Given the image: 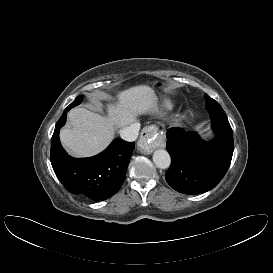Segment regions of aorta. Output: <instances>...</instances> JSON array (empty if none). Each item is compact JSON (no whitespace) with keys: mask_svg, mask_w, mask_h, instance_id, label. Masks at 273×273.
<instances>
[{"mask_svg":"<svg viewBox=\"0 0 273 273\" xmlns=\"http://www.w3.org/2000/svg\"><path fill=\"white\" fill-rule=\"evenodd\" d=\"M153 162L160 169H167L170 166L171 158L164 149H158L153 153Z\"/></svg>","mask_w":273,"mask_h":273,"instance_id":"obj_1","label":"aorta"}]
</instances>
